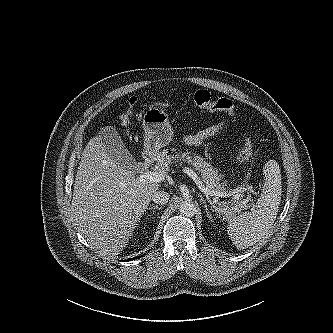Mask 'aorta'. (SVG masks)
<instances>
[{
	"mask_svg": "<svg viewBox=\"0 0 333 333\" xmlns=\"http://www.w3.org/2000/svg\"><path fill=\"white\" fill-rule=\"evenodd\" d=\"M179 211L186 217H192L196 213V206L191 201H184L181 203Z\"/></svg>",
	"mask_w": 333,
	"mask_h": 333,
	"instance_id": "1",
	"label": "aorta"
}]
</instances>
